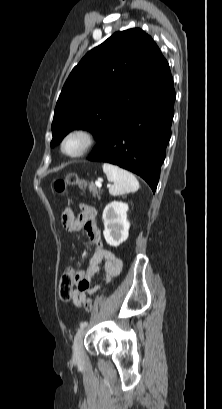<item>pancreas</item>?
<instances>
[{
	"label": "pancreas",
	"instance_id": "1",
	"mask_svg": "<svg viewBox=\"0 0 222 409\" xmlns=\"http://www.w3.org/2000/svg\"><path fill=\"white\" fill-rule=\"evenodd\" d=\"M89 191L93 194V196L97 195L100 199V191L97 190L93 182L89 184Z\"/></svg>",
	"mask_w": 222,
	"mask_h": 409
}]
</instances>
